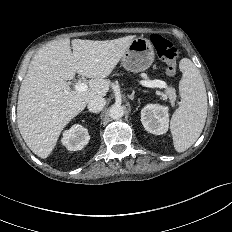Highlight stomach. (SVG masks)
I'll list each match as a JSON object with an SVG mask.
<instances>
[{
    "instance_id": "stomach-1",
    "label": "stomach",
    "mask_w": 232,
    "mask_h": 232,
    "mask_svg": "<svg viewBox=\"0 0 232 232\" xmlns=\"http://www.w3.org/2000/svg\"><path fill=\"white\" fill-rule=\"evenodd\" d=\"M154 61V50L148 39L135 38L122 56V66L131 72L148 69Z\"/></svg>"
}]
</instances>
